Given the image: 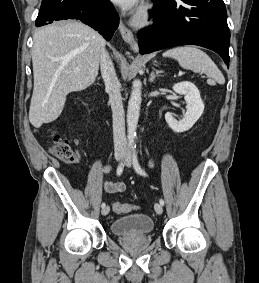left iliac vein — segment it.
Returning a JSON list of instances; mask_svg holds the SVG:
<instances>
[{
	"mask_svg": "<svg viewBox=\"0 0 259 283\" xmlns=\"http://www.w3.org/2000/svg\"><path fill=\"white\" fill-rule=\"evenodd\" d=\"M131 164H132L131 155H130V153H127L126 157H125V165L127 167H130ZM154 209H155L156 213L159 214V215H161L163 213V207L160 203H155Z\"/></svg>",
	"mask_w": 259,
	"mask_h": 283,
	"instance_id": "4c4485c4",
	"label": "left iliac vein"
}]
</instances>
